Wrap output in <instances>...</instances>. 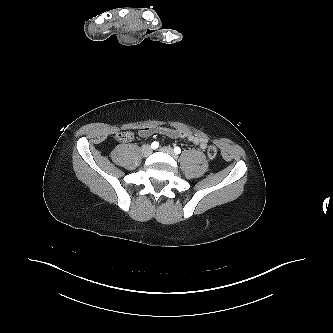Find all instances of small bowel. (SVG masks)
Listing matches in <instances>:
<instances>
[{"mask_svg":"<svg viewBox=\"0 0 333 333\" xmlns=\"http://www.w3.org/2000/svg\"><path fill=\"white\" fill-rule=\"evenodd\" d=\"M153 133H158L161 135H166L172 138H182L186 139L193 144L199 146L201 149H205L207 147V139L202 136H198L192 134L188 131L180 130V129H173L164 126H150V127H143L139 130V134L142 137H148Z\"/></svg>","mask_w":333,"mask_h":333,"instance_id":"obj_1","label":"small bowel"}]
</instances>
